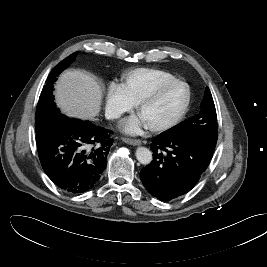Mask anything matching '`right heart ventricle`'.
<instances>
[{
    "label": "right heart ventricle",
    "instance_id": "e07e8e85",
    "mask_svg": "<svg viewBox=\"0 0 267 267\" xmlns=\"http://www.w3.org/2000/svg\"><path fill=\"white\" fill-rule=\"evenodd\" d=\"M174 79H176L174 75L164 70L136 68L123 74L122 85L130 100L137 104L144 95Z\"/></svg>",
    "mask_w": 267,
    "mask_h": 267
}]
</instances>
